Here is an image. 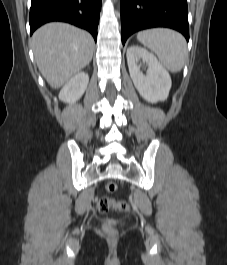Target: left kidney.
Wrapping results in <instances>:
<instances>
[{"label":"left kidney","mask_w":227,"mask_h":265,"mask_svg":"<svg viewBox=\"0 0 227 265\" xmlns=\"http://www.w3.org/2000/svg\"><path fill=\"white\" fill-rule=\"evenodd\" d=\"M147 63V75L140 71L138 62ZM127 63L130 77L143 99L150 103L165 101L172 85L168 71L158 59L146 49L133 45L127 49Z\"/></svg>","instance_id":"left-kidney-1"}]
</instances>
